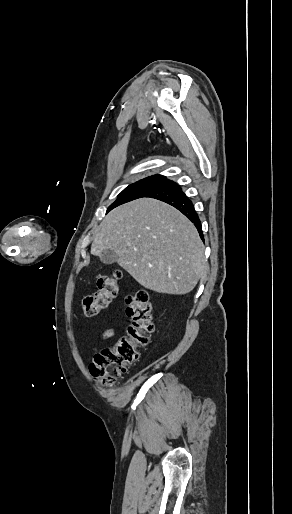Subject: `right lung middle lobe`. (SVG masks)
I'll return each instance as SVG.
<instances>
[{"mask_svg":"<svg viewBox=\"0 0 292 514\" xmlns=\"http://www.w3.org/2000/svg\"><path fill=\"white\" fill-rule=\"evenodd\" d=\"M164 180H166L165 176L153 175L129 185L118 195L117 200L110 205L108 211L123 203L143 197L145 193Z\"/></svg>","mask_w":292,"mask_h":514,"instance_id":"obj_1","label":"right lung middle lobe"}]
</instances>
